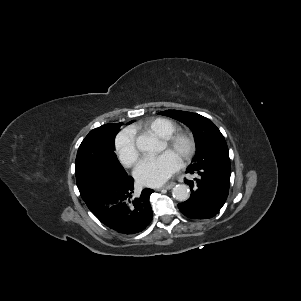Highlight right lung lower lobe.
<instances>
[{
	"instance_id": "right-lung-lower-lobe-1",
	"label": "right lung lower lobe",
	"mask_w": 301,
	"mask_h": 301,
	"mask_svg": "<svg viewBox=\"0 0 301 301\" xmlns=\"http://www.w3.org/2000/svg\"><path fill=\"white\" fill-rule=\"evenodd\" d=\"M134 179L126 175H103L85 193H81L89 210L107 227L122 233L135 234L152 220L149 197L154 191L145 188L139 197L132 193Z\"/></svg>"
}]
</instances>
